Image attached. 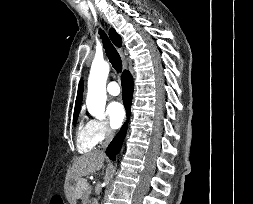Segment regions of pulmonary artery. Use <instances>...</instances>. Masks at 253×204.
Wrapping results in <instances>:
<instances>
[{
  "label": "pulmonary artery",
  "instance_id": "e3ab8cb5",
  "mask_svg": "<svg viewBox=\"0 0 253 204\" xmlns=\"http://www.w3.org/2000/svg\"><path fill=\"white\" fill-rule=\"evenodd\" d=\"M107 92H108V94H110L112 96L119 95V93H120V87H119L118 83L115 82V81H111L107 85Z\"/></svg>",
  "mask_w": 253,
  "mask_h": 204
}]
</instances>
